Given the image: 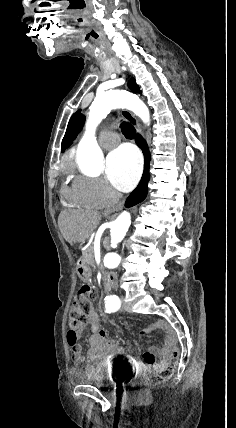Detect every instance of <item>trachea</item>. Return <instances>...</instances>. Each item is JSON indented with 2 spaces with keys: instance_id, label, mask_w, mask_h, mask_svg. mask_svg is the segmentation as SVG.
I'll list each match as a JSON object with an SVG mask.
<instances>
[{
  "instance_id": "1",
  "label": "trachea",
  "mask_w": 236,
  "mask_h": 428,
  "mask_svg": "<svg viewBox=\"0 0 236 428\" xmlns=\"http://www.w3.org/2000/svg\"><path fill=\"white\" fill-rule=\"evenodd\" d=\"M89 33L91 34L90 40L93 42L94 45H97L98 40H99V35L97 33H95L94 29H90ZM100 56L102 57L103 55L101 54ZM120 127H121V131H122L123 135L126 138H134L135 130L130 123L122 121Z\"/></svg>"
}]
</instances>
